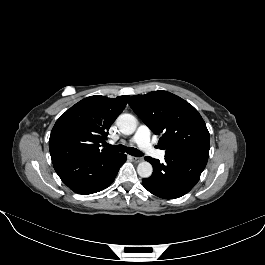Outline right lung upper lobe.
<instances>
[{"instance_id":"cb5924a9","label":"right lung upper lobe","mask_w":265,"mask_h":265,"mask_svg":"<svg viewBox=\"0 0 265 265\" xmlns=\"http://www.w3.org/2000/svg\"><path fill=\"white\" fill-rule=\"evenodd\" d=\"M128 98L90 96L68 109L51 131L49 150L52 163L113 153L100 150V143L105 142L110 126L124 110Z\"/></svg>"}]
</instances>
